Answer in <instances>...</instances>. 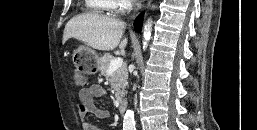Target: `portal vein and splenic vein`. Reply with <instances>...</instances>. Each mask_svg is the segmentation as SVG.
I'll return each mask as SVG.
<instances>
[{
    "instance_id": "portal-vein-and-splenic-vein-1",
    "label": "portal vein and splenic vein",
    "mask_w": 257,
    "mask_h": 130,
    "mask_svg": "<svg viewBox=\"0 0 257 130\" xmlns=\"http://www.w3.org/2000/svg\"><path fill=\"white\" fill-rule=\"evenodd\" d=\"M123 64V59L122 58H115L110 62L109 68H108V73L114 72L116 69L121 67Z\"/></svg>"
}]
</instances>
